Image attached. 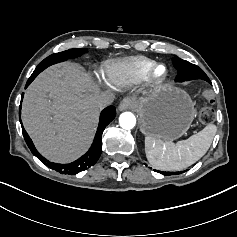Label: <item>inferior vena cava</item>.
Instances as JSON below:
<instances>
[{
    "instance_id": "602c4592",
    "label": "inferior vena cava",
    "mask_w": 237,
    "mask_h": 237,
    "mask_svg": "<svg viewBox=\"0 0 237 237\" xmlns=\"http://www.w3.org/2000/svg\"><path fill=\"white\" fill-rule=\"evenodd\" d=\"M97 104L100 108L109 106L114 101V95L112 93H101L97 96Z\"/></svg>"
}]
</instances>
